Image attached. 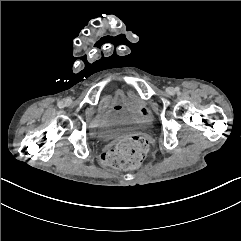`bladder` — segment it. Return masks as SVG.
Here are the masks:
<instances>
[{
	"label": "bladder",
	"instance_id": "obj_1",
	"mask_svg": "<svg viewBox=\"0 0 241 241\" xmlns=\"http://www.w3.org/2000/svg\"><path fill=\"white\" fill-rule=\"evenodd\" d=\"M103 119L110 126L132 124L137 119L136 105L125 94L116 93L104 110Z\"/></svg>",
	"mask_w": 241,
	"mask_h": 241
}]
</instances>
